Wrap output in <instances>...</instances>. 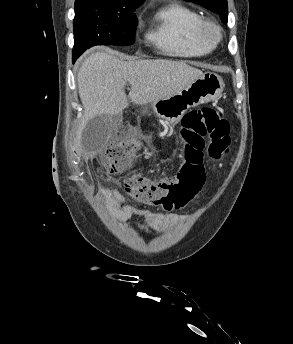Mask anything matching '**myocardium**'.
I'll list each match as a JSON object with an SVG mask.
<instances>
[{
    "mask_svg": "<svg viewBox=\"0 0 293 344\" xmlns=\"http://www.w3.org/2000/svg\"><path fill=\"white\" fill-rule=\"evenodd\" d=\"M199 34L202 41L211 46L215 47L222 38V29L221 27L211 20H202Z\"/></svg>",
    "mask_w": 293,
    "mask_h": 344,
    "instance_id": "f54148a6",
    "label": "myocardium"
}]
</instances>
